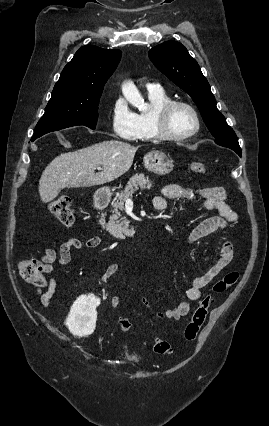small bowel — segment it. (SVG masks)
Here are the masks:
<instances>
[{"label": "small bowel", "mask_w": 269, "mask_h": 426, "mask_svg": "<svg viewBox=\"0 0 269 426\" xmlns=\"http://www.w3.org/2000/svg\"><path fill=\"white\" fill-rule=\"evenodd\" d=\"M166 199H189L199 200V206L202 210H215L218 215L209 217L201 222L191 233L189 243L194 244L200 239L216 232H223L227 226L237 221L236 213L226 202V193L223 187H200L185 188L176 184L165 185L161 189V194L154 198L153 205L158 211L166 208ZM102 239L99 236H93L87 239L69 238L60 244H54L53 247L45 248L40 257L43 272L49 277L43 286H37L36 290L40 296L41 304L48 308L50 301L56 291L57 281L52 276L54 272V263L67 265L71 260L72 250L92 249L101 245ZM233 246L225 241L222 245L219 257L214 264L202 275L193 279L191 287L186 292V299L180 301L178 305L166 311L153 310L149 300L141 296V303L148 309L154 311L155 315L161 319L179 320L186 316L190 310L191 303L201 298L202 290L209 285L212 280L227 266L233 259ZM122 269L120 263H113L104 270L101 281L107 284L110 278L118 274ZM120 298L113 297L111 306L118 307Z\"/></svg>", "instance_id": "obj_1"}]
</instances>
